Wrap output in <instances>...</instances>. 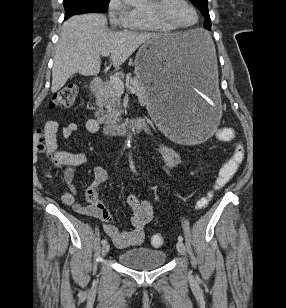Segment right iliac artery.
<instances>
[{"label": "right iliac artery", "mask_w": 286, "mask_h": 308, "mask_svg": "<svg viewBox=\"0 0 286 308\" xmlns=\"http://www.w3.org/2000/svg\"><path fill=\"white\" fill-rule=\"evenodd\" d=\"M101 243L104 245L105 243H107V239L106 238H103Z\"/></svg>", "instance_id": "right-iliac-artery-1"}]
</instances>
